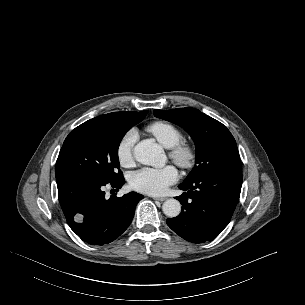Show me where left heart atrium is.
I'll return each instance as SVG.
<instances>
[{"label": "left heart atrium", "mask_w": 305, "mask_h": 305, "mask_svg": "<svg viewBox=\"0 0 305 305\" xmlns=\"http://www.w3.org/2000/svg\"><path fill=\"white\" fill-rule=\"evenodd\" d=\"M178 180V172L174 166L162 168H144L130 178L131 186L142 193L160 195Z\"/></svg>", "instance_id": "left-heart-atrium-1"}]
</instances>
